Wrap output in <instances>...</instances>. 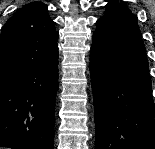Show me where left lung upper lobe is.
<instances>
[{"label": "left lung upper lobe", "mask_w": 155, "mask_h": 149, "mask_svg": "<svg viewBox=\"0 0 155 149\" xmlns=\"http://www.w3.org/2000/svg\"><path fill=\"white\" fill-rule=\"evenodd\" d=\"M108 3L106 5V13L100 19H105L108 17H114L121 14H131V11L127 8V6L123 3H119L118 0H107Z\"/></svg>", "instance_id": "1"}]
</instances>
